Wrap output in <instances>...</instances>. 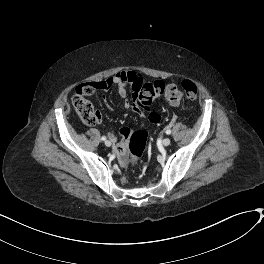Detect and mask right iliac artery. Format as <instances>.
Masks as SVG:
<instances>
[{
	"instance_id": "1",
	"label": "right iliac artery",
	"mask_w": 264,
	"mask_h": 264,
	"mask_svg": "<svg viewBox=\"0 0 264 264\" xmlns=\"http://www.w3.org/2000/svg\"><path fill=\"white\" fill-rule=\"evenodd\" d=\"M106 139H107V138H106L105 136H102V137H101V140H102V141H105Z\"/></svg>"
}]
</instances>
